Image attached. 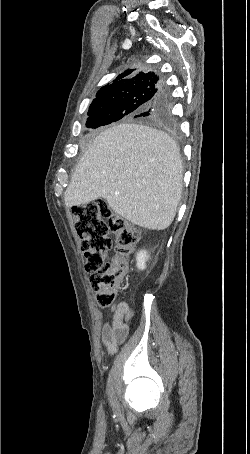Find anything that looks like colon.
<instances>
[{
    "label": "colon",
    "mask_w": 250,
    "mask_h": 454,
    "mask_svg": "<svg viewBox=\"0 0 250 454\" xmlns=\"http://www.w3.org/2000/svg\"><path fill=\"white\" fill-rule=\"evenodd\" d=\"M71 212L97 303L102 308L110 307L117 300L123 278L130 272L129 257L138 242L139 231L113 214L102 200L74 206ZM110 234L115 236L113 252Z\"/></svg>",
    "instance_id": "colon-1"
}]
</instances>
